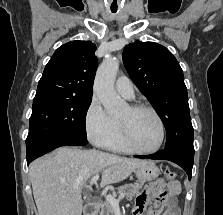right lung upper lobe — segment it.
Segmentation results:
<instances>
[{"label": "right lung upper lobe", "mask_w": 223, "mask_h": 215, "mask_svg": "<svg viewBox=\"0 0 223 215\" xmlns=\"http://www.w3.org/2000/svg\"><path fill=\"white\" fill-rule=\"evenodd\" d=\"M95 50L90 41H71L60 46L44 69L36 95L92 99L97 68Z\"/></svg>", "instance_id": "obj_1"}]
</instances>
